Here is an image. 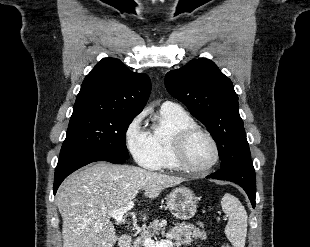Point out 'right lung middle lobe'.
<instances>
[{
    "label": "right lung middle lobe",
    "instance_id": "obj_1",
    "mask_svg": "<svg viewBox=\"0 0 310 247\" xmlns=\"http://www.w3.org/2000/svg\"><path fill=\"white\" fill-rule=\"evenodd\" d=\"M134 117L111 111H73L60 158L94 153L127 160L126 131Z\"/></svg>",
    "mask_w": 310,
    "mask_h": 247
}]
</instances>
